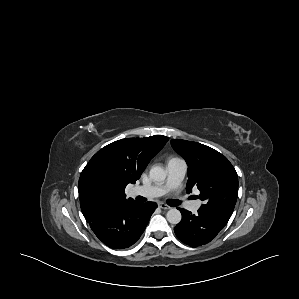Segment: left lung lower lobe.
Segmentation results:
<instances>
[{
  "label": "left lung lower lobe",
  "instance_id": "1",
  "mask_svg": "<svg viewBox=\"0 0 299 299\" xmlns=\"http://www.w3.org/2000/svg\"><path fill=\"white\" fill-rule=\"evenodd\" d=\"M182 214V220L174 228L176 236L191 247H198L210 242L225 226L212 216L198 210L192 214L182 208H178Z\"/></svg>",
  "mask_w": 299,
  "mask_h": 299
}]
</instances>
